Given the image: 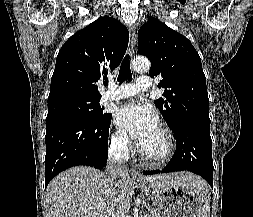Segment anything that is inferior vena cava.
I'll return each instance as SVG.
<instances>
[{
	"label": "inferior vena cava",
	"instance_id": "1",
	"mask_svg": "<svg viewBox=\"0 0 253 217\" xmlns=\"http://www.w3.org/2000/svg\"><path fill=\"white\" fill-rule=\"evenodd\" d=\"M126 144H116L110 148L106 166V174L110 177L113 187H120L122 180L129 177L128 168L123 165ZM114 196H119L120 189L112 188Z\"/></svg>",
	"mask_w": 253,
	"mask_h": 217
}]
</instances>
